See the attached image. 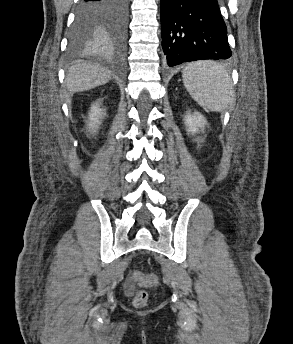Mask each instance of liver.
I'll list each match as a JSON object with an SVG mask.
<instances>
[{
    "label": "liver",
    "mask_w": 293,
    "mask_h": 344,
    "mask_svg": "<svg viewBox=\"0 0 293 344\" xmlns=\"http://www.w3.org/2000/svg\"><path fill=\"white\" fill-rule=\"evenodd\" d=\"M112 78V73L93 63H79L68 69L66 87L70 92H82L104 85Z\"/></svg>",
    "instance_id": "6515ba94"
}]
</instances>
